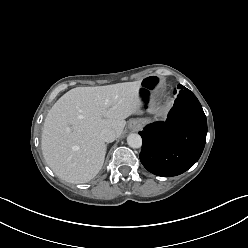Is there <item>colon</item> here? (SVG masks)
Segmentation results:
<instances>
[{
	"instance_id": "obj_1",
	"label": "colon",
	"mask_w": 248,
	"mask_h": 248,
	"mask_svg": "<svg viewBox=\"0 0 248 248\" xmlns=\"http://www.w3.org/2000/svg\"><path fill=\"white\" fill-rule=\"evenodd\" d=\"M160 79L156 75H151L143 79L137 87V96L139 98L138 108L142 112H147L151 108L152 92L151 90L158 87Z\"/></svg>"
}]
</instances>
